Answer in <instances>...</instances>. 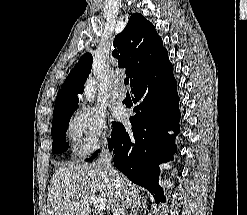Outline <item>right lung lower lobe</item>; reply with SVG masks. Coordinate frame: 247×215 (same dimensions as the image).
I'll return each mask as SVG.
<instances>
[{
  "instance_id": "obj_1",
  "label": "right lung lower lobe",
  "mask_w": 247,
  "mask_h": 215,
  "mask_svg": "<svg viewBox=\"0 0 247 215\" xmlns=\"http://www.w3.org/2000/svg\"><path fill=\"white\" fill-rule=\"evenodd\" d=\"M131 88L134 102H139L134 108L136 115L130 117L132 128L113 123L108 147L113 151L114 164L119 171L149 190L157 203L165 202L163 189L158 184L159 164L172 159L177 150L175 136L180 132L177 83L167 51L131 84ZM170 130L175 134L169 135Z\"/></svg>"
}]
</instances>
